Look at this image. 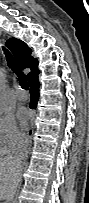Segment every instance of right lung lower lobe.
Returning <instances> with one entry per match:
<instances>
[{
    "instance_id": "98d812e1",
    "label": "right lung lower lobe",
    "mask_w": 89,
    "mask_h": 203,
    "mask_svg": "<svg viewBox=\"0 0 89 203\" xmlns=\"http://www.w3.org/2000/svg\"><path fill=\"white\" fill-rule=\"evenodd\" d=\"M29 85H30V94H31L30 108L35 109L39 99L40 83L38 81V74L35 77H33L31 80H29Z\"/></svg>"
}]
</instances>
